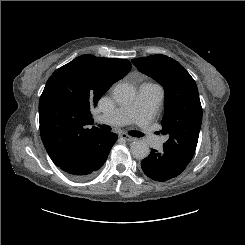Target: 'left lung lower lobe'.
<instances>
[{
  "mask_svg": "<svg viewBox=\"0 0 245 245\" xmlns=\"http://www.w3.org/2000/svg\"><path fill=\"white\" fill-rule=\"evenodd\" d=\"M191 160L177 151L163 146L162 151L152 150L142 160L143 172L155 181H167L181 174Z\"/></svg>",
  "mask_w": 245,
  "mask_h": 245,
  "instance_id": "left-lung-lower-lobe-1",
  "label": "left lung lower lobe"
}]
</instances>
